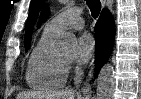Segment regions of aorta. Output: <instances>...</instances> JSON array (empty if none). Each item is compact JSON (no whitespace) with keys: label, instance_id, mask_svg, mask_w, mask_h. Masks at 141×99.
Wrapping results in <instances>:
<instances>
[{"label":"aorta","instance_id":"762f6f07","mask_svg":"<svg viewBox=\"0 0 141 99\" xmlns=\"http://www.w3.org/2000/svg\"><path fill=\"white\" fill-rule=\"evenodd\" d=\"M61 52H74L77 48V40L71 34L62 35L57 44ZM114 68L106 64L100 70L97 78V96L96 99H112L115 86Z\"/></svg>","mask_w":141,"mask_h":99}]
</instances>
